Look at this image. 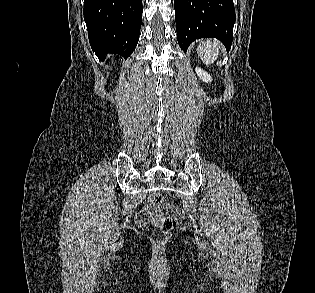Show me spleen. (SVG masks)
<instances>
[{"label":"spleen","instance_id":"1","mask_svg":"<svg viewBox=\"0 0 315 293\" xmlns=\"http://www.w3.org/2000/svg\"><path fill=\"white\" fill-rule=\"evenodd\" d=\"M197 53L204 64L214 63L219 55V44L211 40L202 42L197 47Z\"/></svg>","mask_w":315,"mask_h":293}]
</instances>
